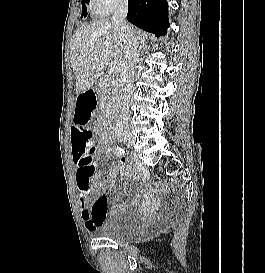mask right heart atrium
Returning <instances> with one entry per match:
<instances>
[{
  "label": "right heart atrium",
  "instance_id": "right-heart-atrium-1",
  "mask_svg": "<svg viewBox=\"0 0 265 273\" xmlns=\"http://www.w3.org/2000/svg\"><path fill=\"white\" fill-rule=\"evenodd\" d=\"M127 0H91L93 12L100 15H106L113 10L123 7Z\"/></svg>",
  "mask_w": 265,
  "mask_h": 273
}]
</instances>
